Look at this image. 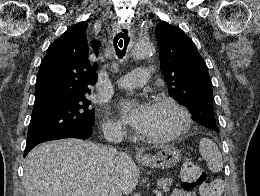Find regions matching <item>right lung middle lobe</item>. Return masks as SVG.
<instances>
[{"label":"right lung middle lobe","mask_w":260,"mask_h":196,"mask_svg":"<svg viewBox=\"0 0 260 196\" xmlns=\"http://www.w3.org/2000/svg\"><path fill=\"white\" fill-rule=\"evenodd\" d=\"M94 109L87 93L61 95L33 108L26 147L92 128Z\"/></svg>","instance_id":"obj_1"}]
</instances>
